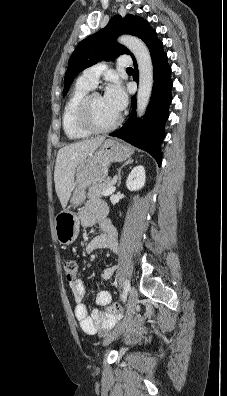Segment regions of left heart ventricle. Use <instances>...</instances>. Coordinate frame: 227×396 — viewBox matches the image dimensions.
<instances>
[{
    "label": "left heart ventricle",
    "instance_id": "1",
    "mask_svg": "<svg viewBox=\"0 0 227 396\" xmlns=\"http://www.w3.org/2000/svg\"><path fill=\"white\" fill-rule=\"evenodd\" d=\"M91 112L94 121L100 126L112 123L118 116L109 108L101 95H97L92 99Z\"/></svg>",
    "mask_w": 227,
    "mask_h": 396
}]
</instances>
